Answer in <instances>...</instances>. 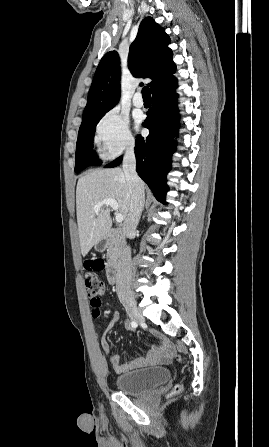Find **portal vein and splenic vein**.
<instances>
[{
	"mask_svg": "<svg viewBox=\"0 0 269 447\" xmlns=\"http://www.w3.org/2000/svg\"><path fill=\"white\" fill-rule=\"evenodd\" d=\"M111 206L112 210H118V202L116 200H111V198H107V200H101L98 202L97 206H94V212H98L101 206ZM124 218L121 214H116V222H123Z\"/></svg>",
	"mask_w": 269,
	"mask_h": 447,
	"instance_id": "1",
	"label": "portal vein and splenic vein"
}]
</instances>
